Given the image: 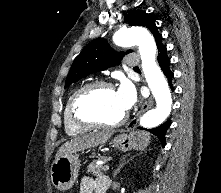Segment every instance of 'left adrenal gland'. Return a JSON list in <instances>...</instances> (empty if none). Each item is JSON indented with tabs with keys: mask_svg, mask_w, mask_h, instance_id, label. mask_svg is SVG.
Here are the masks:
<instances>
[{
	"mask_svg": "<svg viewBox=\"0 0 221 193\" xmlns=\"http://www.w3.org/2000/svg\"><path fill=\"white\" fill-rule=\"evenodd\" d=\"M130 156V155H128ZM134 158V156H131L129 159H126V157H123L121 160H120V165L118 166V168L114 171L113 173V179L116 177V175L118 173H120V170L121 168L124 167V165H126L130 160H132Z\"/></svg>",
	"mask_w": 221,
	"mask_h": 193,
	"instance_id": "obj_1",
	"label": "left adrenal gland"
}]
</instances>
